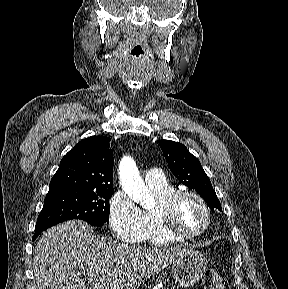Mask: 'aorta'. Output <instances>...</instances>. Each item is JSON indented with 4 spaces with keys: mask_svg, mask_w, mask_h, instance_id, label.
Instances as JSON below:
<instances>
[{
    "mask_svg": "<svg viewBox=\"0 0 288 289\" xmlns=\"http://www.w3.org/2000/svg\"><path fill=\"white\" fill-rule=\"evenodd\" d=\"M119 177L123 190L133 201L145 209L155 205L154 198L142 181L137 165L131 157L122 158L119 165Z\"/></svg>",
    "mask_w": 288,
    "mask_h": 289,
    "instance_id": "obj_1",
    "label": "aorta"
}]
</instances>
